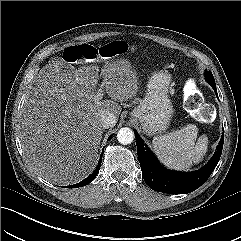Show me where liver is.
Masks as SVG:
<instances>
[{"label":"liver","instance_id":"1","mask_svg":"<svg viewBox=\"0 0 241 241\" xmlns=\"http://www.w3.org/2000/svg\"><path fill=\"white\" fill-rule=\"evenodd\" d=\"M99 69H75L64 60L47 64L33 79L21 109L22 149L29 167L45 180L69 185L95 168L103 128L101 115H120L118 102L138 92V77L129 61L107 62L102 85L111 100L97 98Z\"/></svg>","mask_w":241,"mask_h":241}]
</instances>
